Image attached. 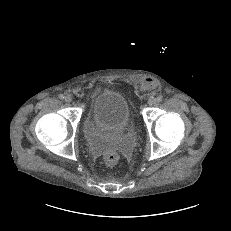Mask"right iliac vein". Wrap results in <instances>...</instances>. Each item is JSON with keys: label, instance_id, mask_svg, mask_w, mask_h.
I'll use <instances>...</instances> for the list:
<instances>
[{"label": "right iliac vein", "instance_id": "1", "mask_svg": "<svg viewBox=\"0 0 231 231\" xmlns=\"http://www.w3.org/2000/svg\"><path fill=\"white\" fill-rule=\"evenodd\" d=\"M64 99H65V101L67 103H70L72 101V96L71 95H66Z\"/></svg>", "mask_w": 231, "mask_h": 231}]
</instances>
